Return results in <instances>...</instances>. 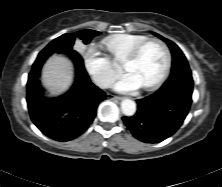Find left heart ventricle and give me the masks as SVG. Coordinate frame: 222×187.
<instances>
[{
    "label": "left heart ventricle",
    "mask_w": 222,
    "mask_h": 187,
    "mask_svg": "<svg viewBox=\"0 0 222 187\" xmlns=\"http://www.w3.org/2000/svg\"><path fill=\"white\" fill-rule=\"evenodd\" d=\"M166 56L159 44H149L142 51L140 57L124 66L127 73L139 82L141 86L156 81L163 72Z\"/></svg>",
    "instance_id": "obj_1"
}]
</instances>
